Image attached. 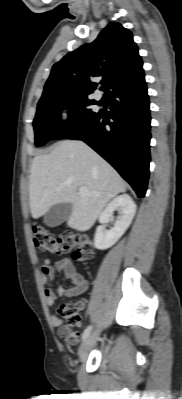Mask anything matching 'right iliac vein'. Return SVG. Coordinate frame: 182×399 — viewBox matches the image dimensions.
Wrapping results in <instances>:
<instances>
[{"mask_svg": "<svg viewBox=\"0 0 182 399\" xmlns=\"http://www.w3.org/2000/svg\"><path fill=\"white\" fill-rule=\"evenodd\" d=\"M99 336L98 331H94L89 337H87L82 344L79 347L78 350V355L79 357L83 358L86 356L88 351L91 349V347L94 345L96 342L97 338Z\"/></svg>", "mask_w": 182, "mask_h": 399, "instance_id": "obj_1", "label": "right iliac vein"}]
</instances>
